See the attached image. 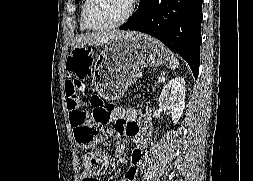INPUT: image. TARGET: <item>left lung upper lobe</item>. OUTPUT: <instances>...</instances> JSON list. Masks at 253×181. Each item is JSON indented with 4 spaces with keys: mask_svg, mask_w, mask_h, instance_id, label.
<instances>
[{
    "mask_svg": "<svg viewBox=\"0 0 253 181\" xmlns=\"http://www.w3.org/2000/svg\"><path fill=\"white\" fill-rule=\"evenodd\" d=\"M80 0H75V4L78 3Z\"/></svg>",
    "mask_w": 253,
    "mask_h": 181,
    "instance_id": "1",
    "label": "left lung upper lobe"
}]
</instances>
